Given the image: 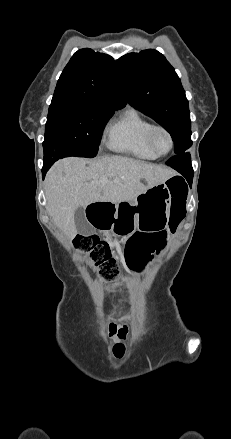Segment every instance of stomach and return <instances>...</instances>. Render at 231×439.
<instances>
[{"mask_svg": "<svg viewBox=\"0 0 231 439\" xmlns=\"http://www.w3.org/2000/svg\"><path fill=\"white\" fill-rule=\"evenodd\" d=\"M168 180L139 194L128 205L130 213L119 220L116 230L121 235L132 234L137 229H163L170 216L171 192Z\"/></svg>", "mask_w": 231, "mask_h": 439, "instance_id": "1", "label": "stomach"}]
</instances>
